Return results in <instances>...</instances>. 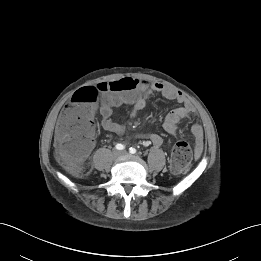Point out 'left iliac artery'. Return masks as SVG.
Instances as JSON below:
<instances>
[{"mask_svg":"<svg viewBox=\"0 0 261 261\" xmlns=\"http://www.w3.org/2000/svg\"><path fill=\"white\" fill-rule=\"evenodd\" d=\"M136 151H137V150H136L135 148H133V147L129 148V152H130L131 154H135Z\"/></svg>","mask_w":261,"mask_h":261,"instance_id":"44dca946","label":"left iliac artery"}]
</instances>
